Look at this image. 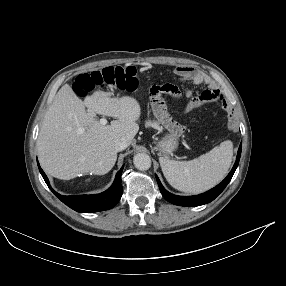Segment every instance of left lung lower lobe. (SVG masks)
I'll return each mask as SVG.
<instances>
[{"mask_svg": "<svg viewBox=\"0 0 286 286\" xmlns=\"http://www.w3.org/2000/svg\"><path fill=\"white\" fill-rule=\"evenodd\" d=\"M241 147H242V143L239 146L238 154L236 157V162H235L231 172L215 188H213V189H211V190H209L203 194L197 195V196H189V197L176 196V195L169 193L167 190H165V188L162 186L160 180L156 176L158 186H159V189H160L162 195L170 203H173V204L179 205V206H199V205H203V204L211 202L224 190V188L230 182V180H231V178H232V176H233V174H234V172H235V170L239 164V159L241 156Z\"/></svg>", "mask_w": 286, "mask_h": 286, "instance_id": "left-lung-lower-lobe-1", "label": "left lung lower lobe"}]
</instances>
